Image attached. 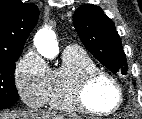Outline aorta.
I'll use <instances>...</instances> for the list:
<instances>
[{
    "mask_svg": "<svg viewBox=\"0 0 142 119\" xmlns=\"http://www.w3.org/2000/svg\"><path fill=\"white\" fill-rule=\"evenodd\" d=\"M34 44L39 54L47 59H53L59 53L58 42L55 33L48 28H43L37 32Z\"/></svg>",
    "mask_w": 142,
    "mask_h": 119,
    "instance_id": "obj_1",
    "label": "aorta"
}]
</instances>
